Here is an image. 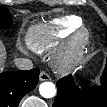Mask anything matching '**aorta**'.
I'll return each mask as SVG.
<instances>
[{
    "mask_svg": "<svg viewBox=\"0 0 107 107\" xmlns=\"http://www.w3.org/2000/svg\"><path fill=\"white\" fill-rule=\"evenodd\" d=\"M39 92L44 98H52L56 95V87L52 82H43L39 86Z\"/></svg>",
    "mask_w": 107,
    "mask_h": 107,
    "instance_id": "obj_1",
    "label": "aorta"
}]
</instances>
